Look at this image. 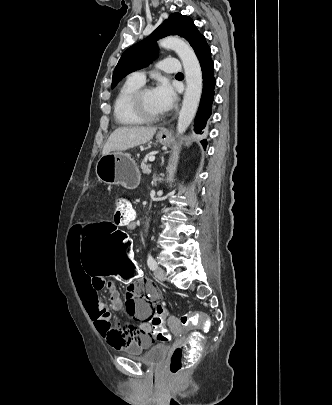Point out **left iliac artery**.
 Listing matches in <instances>:
<instances>
[{
	"label": "left iliac artery",
	"mask_w": 332,
	"mask_h": 405,
	"mask_svg": "<svg viewBox=\"0 0 332 405\" xmlns=\"http://www.w3.org/2000/svg\"><path fill=\"white\" fill-rule=\"evenodd\" d=\"M147 265L151 270H155L157 268V263L151 254H148Z\"/></svg>",
	"instance_id": "1"
}]
</instances>
